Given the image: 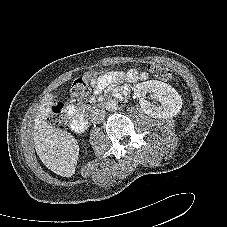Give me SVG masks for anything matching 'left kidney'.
Here are the masks:
<instances>
[{
    "label": "left kidney",
    "instance_id": "left-kidney-1",
    "mask_svg": "<svg viewBox=\"0 0 227 227\" xmlns=\"http://www.w3.org/2000/svg\"><path fill=\"white\" fill-rule=\"evenodd\" d=\"M135 95L140 98V106L142 110L154 118H169L176 116L182 107L181 96L170 85L150 80L135 87ZM147 92L153 94L154 98L160 102V105H154L143 97Z\"/></svg>",
    "mask_w": 227,
    "mask_h": 227
}]
</instances>
